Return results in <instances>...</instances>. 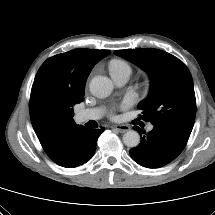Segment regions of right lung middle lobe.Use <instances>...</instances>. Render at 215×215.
<instances>
[{
	"label": "right lung middle lobe",
	"instance_id": "dd1d6c3e",
	"mask_svg": "<svg viewBox=\"0 0 215 215\" xmlns=\"http://www.w3.org/2000/svg\"><path fill=\"white\" fill-rule=\"evenodd\" d=\"M41 101L47 107H56V105H57L56 97L47 91L42 92Z\"/></svg>",
	"mask_w": 215,
	"mask_h": 215
}]
</instances>
